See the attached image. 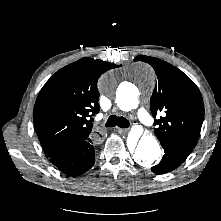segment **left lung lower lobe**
I'll use <instances>...</instances> for the list:
<instances>
[{
    "instance_id": "obj_1",
    "label": "left lung lower lobe",
    "mask_w": 221,
    "mask_h": 221,
    "mask_svg": "<svg viewBox=\"0 0 221 221\" xmlns=\"http://www.w3.org/2000/svg\"><path fill=\"white\" fill-rule=\"evenodd\" d=\"M162 147L164 148L165 154L161 162L151 168L152 172L156 174H165L176 169L186 160L191 152L170 144H162Z\"/></svg>"
}]
</instances>
